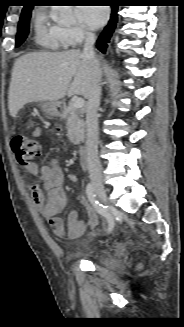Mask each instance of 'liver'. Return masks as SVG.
<instances>
[{
    "mask_svg": "<svg viewBox=\"0 0 184 327\" xmlns=\"http://www.w3.org/2000/svg\"><path fill=\"white\" fill-rule=\"evenodd\" d=\"M96 74L91 63L76 49L25 54L13 66L9 113L16 117L27 103L57 102L66 95H82L87 99Z\"/></svg>",
    "mask_w": 184,
    "mask_h": 327,
    "instance_id": "liver-1",
    "label": "liver"
}]
</instances>
